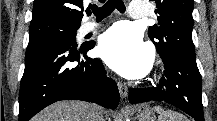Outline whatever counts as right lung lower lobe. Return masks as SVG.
Wrapping results in <instances>:
<instances>
[{"label": "right lung lower lobe", "mask_w": 217, "mask_h": 121, "mask_svg": "<svg viewBox=\"0 0 217 121\" xmlns=\"http://www.w3.org/2000/svg\"><path fill=\"white\" fill-rule=\"evenodd\" d=\"M95 42L64 39L29 44L20 84L19 121H28L40 110L59 100L96 102L115 109L119 91L115 81L105 78L99 59L87 57Z\"/></svg>", "instance_id": "1"}]
</instances>
